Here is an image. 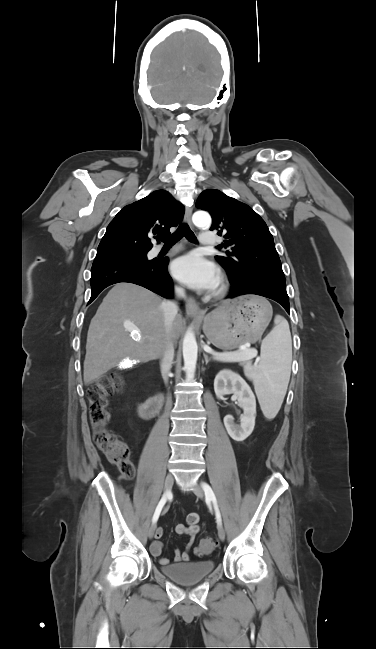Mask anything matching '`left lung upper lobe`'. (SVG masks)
Instances as JSON below:
<instances>
[{"instance_id": "left-lung-upper-lobe-1", "label": "left lung upper lobe", "mask_w": 376, "mask_h": 649, "mask_svg": "<svg viewBox=\"0 0 376 649\" xmlns=\"http://www.w3.org/2000/svg\"><path fill=\"white\" fill-rule=\"evenodd\" d=\"M196 207L212 216L211 230L224 237L226 256L216 260L231 276L233 283L243 281L250 273H261L285 283L281 262L272 234L264 220L248 205L219 190H205Z\"/></svg>"}]
</instances>
